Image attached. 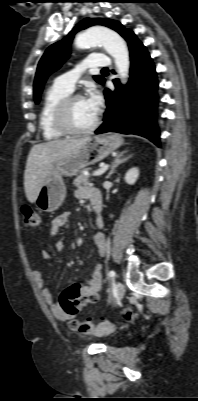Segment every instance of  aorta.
<instances>
[{
	"label": "aorta",
	"instance_id": "obj_1",
	"mask_svg": "<svg viewBox=\"0 0 198 401\" xmlns=\"http://www.w3.org/2000/svg\"><path fill=\"white\" fill-rule=\"evenodd\" d=\"M76 47L86 49L102 45L109 55L114 58L121 81L129 77V52L123 38L116 32L101 26H95L79 34L75 41Z\"/></svg>",
	"mask_w": 198,
	"mask_h": 401
}]
</instances>
